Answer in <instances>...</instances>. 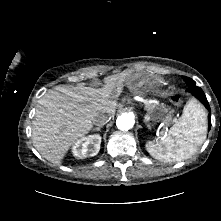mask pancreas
Instances as JSON below:
<instances>
[{
	"label": "pancreas",
	"mask_w": 221,
	"mask_h": 221,
	"mask_svg": "<svg viewBox=\"0 0 221 221\" xmlns=\"http://www.w3.org/2000/svg\"><path fill=\"white\" fill-rule=\"evenodd\" d=\"M163 107V106H161ZM145 108L149 113H153L155 110L159 109L156 103H146Z\"/></svg>",
	"instance_id": "cf45deb5"
}]
</instances>
